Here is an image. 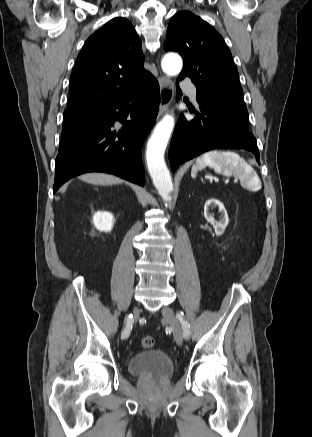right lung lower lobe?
Masks as SVG:
<instances>
[{"instance_id": "right-lung-lower-lobe-1", "label": "right lung lower lobe", "mask_w": 312, "mask_h": 437, "mask_svg": "<svg viewBox=\"0 0 312 437\" xmlns=\"http://www.w3.org/2000/svg\"><path fill=\"white\" fill-rule=\"evenodd\" d=\"M159 84L149 74L134 89L62 130L56 158L54 193L66 181L86 172H106L143 186V142L155 123ZM130 116V121L126 118ZM115 121L124 124L114 127Z\"/></svg>"}]
</instances>
